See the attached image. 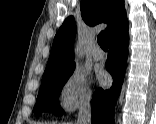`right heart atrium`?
I'll return each instance as SVG.
<instances>
[{"label": "right heart atrium", "mask_w": 156, "mask_h": 124, "mask_svg": "<svg viewBox=\"0 0 156 124\" xmlns=\"http://www.w3.org/2000/svg\"><path fill=\"white\" fill-rule=\"evenodd\" d=\"M60 104L66 113L88 107L94 97L92 81L81 68H74L60 87Z\"/></svg>", "instance_id": "d8ad5b80"}]
</instances>
